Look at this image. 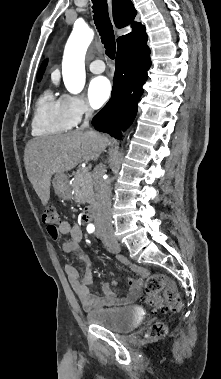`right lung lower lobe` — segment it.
Listing matches in <instances>:
<instances>
[{
	"instance_id": "right-lung-lower-lobe-1",
	"label": "right lung lower lobe",
	"mask_w": 221,
	"mask_h": 379,
	"mask_svg": "<svg viewBox=\"0 0 221 379\" xmlns=\"http://www.w3.org/2000/svg\"><path fill=\"white\" fill-rule=\"evenodd\" d=\"M145 28L118 44L116 70L112 98L93 118L98 131L120 137V129H126L137 113V103L143 93L147 71L151 66L150 49L147 46Z\"/></svg>"
}]
</instances>
